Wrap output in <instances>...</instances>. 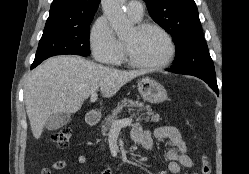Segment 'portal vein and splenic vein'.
Instances as JSON below:
<instances>
[{
	"label": "portal vein and splenic vein",
	"mask_w": 249,
	"mask_h": 174,
	"mask_svg": "<svg viewBox=\"0 0 249 174\" xmlns=\"http://www.w3.org/2000/svg\"><path fill=\"white\" fill-rule=\"evenodd\" d=\"M97 100V94L92 93L90 101L95 102ZM132 123V118H125L122 120H114L111 124V129L112 130H121L122 127L130 125Z\"/></svg>",
	"instance_id": "portal-vein-and-splenic-vein-1"
}]
</instances>
